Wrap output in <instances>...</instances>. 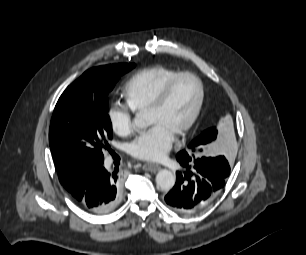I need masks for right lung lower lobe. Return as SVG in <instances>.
Masks as SVG:
<instances>
[{"instance_id": "right-lung-lower-lobe-1", "label": "right lung lower lobe", "mask_w": 306, "mask_h": 255, "mask_svg": "<svg viewBox=\"0 0 306 255\" xmlns=\"http://www.w3.org/2000/svg\"><path fill=\"white\" fill-rule=\"evenodd\" d=\"M70 194L85 210L96 214L108 213L120 201L121 174L108 172L102 164L89 166Z\"/></svg>"}]
</instances>
